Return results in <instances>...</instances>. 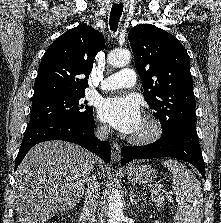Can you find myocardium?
Wrapping results in <instances>:
<instances>
[{
    "instance_id": "myocardium-1",
    "label": "myocardium",
    "mask_w": 221,
    "mask_h": 223,
    "mask_svg": "<svg viewBox=\"0 0 221 223\" xmlns=\"http://www.w3.org/2000/svg\"><path fill=\"white\" fill-rule=\"evenodd\" d=\"M143 123L146 125V130L141 134L133 135L130 141L137 145H146L156 141L163 132V126L160 119L148 113L143 118Z\"/></svg>"
}]
</instances>
